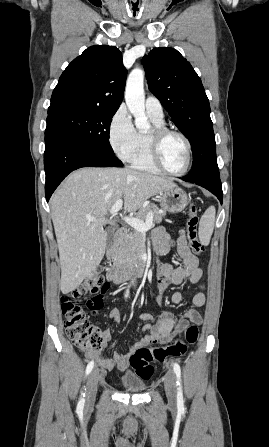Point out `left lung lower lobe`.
Segmentation results:
<instances>
[{
    "label": "left lung lower lobe",
    "mask_w": 269,
    "mask_h": 447,
    "mask_svg": "<svg viewBox=\"0 0 269 447\" xmlns=\"http://www.w3.org/2000/svg\"><path fill=\"white\" fill-rule=\"evenodd\" d=\"M187 182L196 183L210 192H212L214 195L217 196V198L220 200V203L222 204L223 201V192L221 187V181L220 177H213V178H207V179H201V180H193L188 178L187 176L183 179Z\"/></svg>",
    "instance_id": "0a47b994"
}]
</instances>
